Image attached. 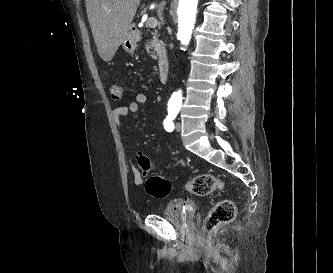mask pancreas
<instances>
[{
    "label": "pancreas",
    "instance_id": "cf45deb5",
    "mask_svg": "<svg viewBox=\"0 0 333 273\" xmlns=\"http://www.w3.org/2000/svg\"><path fill=\"white\" fill-rule=\"evenodd\" d=\"M153 39L150 41V44L149 46L147 47V49H153L154 51L151 52V56L153 59H157V55H159L160 53H164L165 52V48H164V45L163 43L158 40V36H157V33H154L153 34ZM157 55H156V53Z\"/></svg>",
    "mask_w": 333,
    "mask_h": 273
}]
</instances>
